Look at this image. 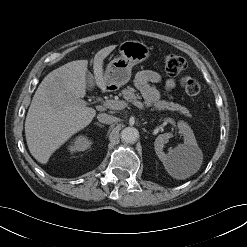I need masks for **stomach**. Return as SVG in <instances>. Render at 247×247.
I'll return each instance as SVG.
<instances>
[{"label": "stomach", "instance_id": "obj_1", "mask_svg": "<svg viewBox=\"0 0 247 247\" xmlns=\"http://www.w3.org/2000/svg\"><path fill=\"white\" fill-rule=\"evenodd\" d=\"M120 56L109 62L104 72L108 87L119 88L131 78L132 67L150 56L149 47L142 42L127 40L119 46Z\"/></svg>", "mask_w": 247, "mask_h": 247}]
</instances>
